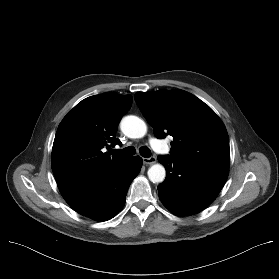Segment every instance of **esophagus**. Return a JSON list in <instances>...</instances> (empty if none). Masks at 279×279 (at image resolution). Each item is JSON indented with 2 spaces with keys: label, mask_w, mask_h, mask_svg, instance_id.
<instances>
[{
  "label": "esophagus",
  "mask_w": 279,
  "mask_h": 279,
  "mask_svg": "<svg viewBox=\"0 0 279 279\" xmlns=\"http://www.w3.org/2000/svg\"><path fill=\"white\" fill-rule=\"evenodd\" d=\"M156 157H154V156H151V157H149V158H143V163L144 164H154V163H156Z\"/></svg>",
  "instance_id": "1"
}]
</instances>
